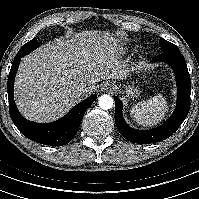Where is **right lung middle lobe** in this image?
<instances>
[{"mask_svg": "<svg viewBox=\"0 0 199 199\" xmlns=\"http://www.w3.org/2000/svg\"><path fill=\"white\" fill-rule=\"evenodd\" d=\"M39 46L38 42L36 39H33L31 41H29L28 43H26L20 50L19 52H24L26 54L30 53L31 51H33L34 49H36ZM18 52V53H19Z\"/></svg>", "mask_w": 199, "mask_h": 199, "instance_id": "right-lung-middle-lobe-1", "label": "right lung middle lobe"}]
</instances>
